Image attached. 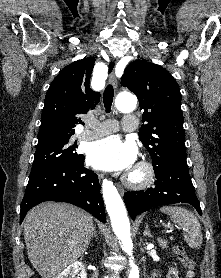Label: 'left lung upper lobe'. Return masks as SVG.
Instances as JSON below:
<instances>
[{
	"mask_svg": "<svg viewBox=\"0 0 221 278\" xmlns=\"http://www.w3.org/2000/svg\"><path fill=\"white\" fill-rule=\"evenodd\" d=\"M122 86L133 91L144 110L139 137L152 158L154 170L174 159H186L185 131L179 86L170 73L146 61H134L124 70Z\"/></svg>",
	"mask_w": 221,
	"mask_h": 278,
	"instance_id": "5c2ea615",
	"label": "left lung upper lobe"
}]
</instances>
